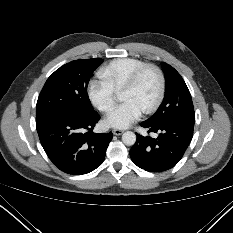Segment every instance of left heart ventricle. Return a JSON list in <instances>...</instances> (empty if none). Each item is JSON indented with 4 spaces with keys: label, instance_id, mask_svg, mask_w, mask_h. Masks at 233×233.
Segmentation results:
<instances>
[{
    "label": "left heart ventricle",
    "instance_id": "b2bd125f",
    "mask_svg": "<svg viewBox=\"0 0 233 233\" xmlns=\"http://www.w3.org/2000/svg\"><path fill=\"white\" fill-rule=\"evenodd\" d=\"M158 91V76L154 71H147L136 87L122 90L121 99L135 102L144 111L155 101Z\"/></svg>",
    "mask_w": 233,
    "mask_h": 233
}]
</instances>
